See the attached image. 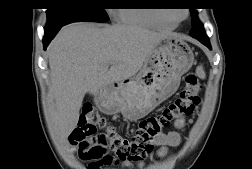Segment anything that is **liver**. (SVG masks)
Masks as SVG:
<instances>
[{
    "label": "liver",
    "mask_w": 252,
    "mask_h": 169,
    "mask_svg": "<svg viewBox=\"0 0 252 169\" xmlns=\"http://www.w3.org/2000/svg\"><path fill=\"white\" fill-rule=\"evenodd\" d=\"M167 36L176 35L128 25L72 23L63 27L47 49L56 135L66 140L77 126L86 93L96 95L135 76Z\"/></svg>",
    "instance_id": "obj_1"
}]
</instances>
